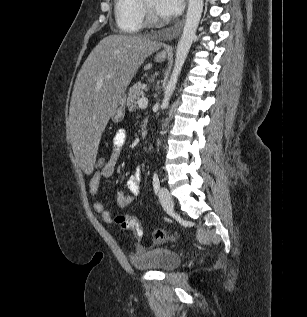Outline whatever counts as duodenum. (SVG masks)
Returning a JSON list of instances; mask_svg holds the SVG:
<instances>
[{"label": "duodenum", "mask_w": 307, "mask_h": 317, "mask_svg": "<svg viewBox=\"0 0 307 317\" xmlns=\"http://www.w3.org/2000/svg\"><path fill=\"white\" fill-rule=\"evenodd\" d=\"M147 135V124L146 123H143L141 125V136L142 137H145Z\"/></svg>", "instance_id": "1"}]
</instances>
